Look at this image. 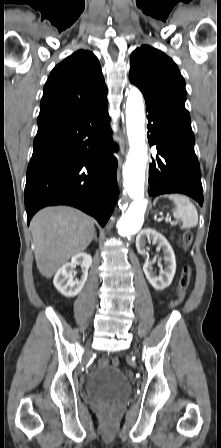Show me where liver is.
<instances>
[{
  "instance_id": "obj_1",
  "label": "liver",
  "mask_w": 221,
  "mask_h": 448,
  "mask_svg": "<svg viewBox=\"0 0 221 448\" xmlns=\"http://www.w3.org/2000/svg\"><path fill=\"white\" fill-rule=\"evenodd\" d=\"M30 226L36 265L46 278L52 277L71 257L83 252L95 234L91 217L65 206L40 210Z\"/></svg>"
}]
</instances>
